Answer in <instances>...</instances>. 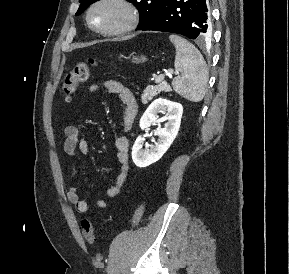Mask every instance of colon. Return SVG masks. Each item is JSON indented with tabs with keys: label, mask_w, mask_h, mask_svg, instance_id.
Returning a JSON list of instances; mask_svg holds the SVG:
<instances>
[{
	"label": "colon",
	"mask_w": 289,
	"mask_h": 274,
	"mask_svg": "<svg viewBox=\"0 0 289 274\" xmlns=\"http://www.w3.org/2000/svg\"><path fill=\"white\" fill-rule=\"evenodd\" d=\"M98 64L97 59H90L87 63H79L66 72L62 81V94L66 99H70L77 92L79 85L88 79L91 69L98 66ZM81 228L85 240L93 244L96 236L91 221L83 219Z\"/></svg>",
	"instance_id": "obj_1"
}]
</instances>
